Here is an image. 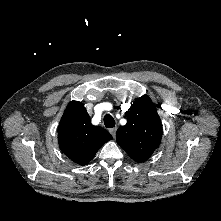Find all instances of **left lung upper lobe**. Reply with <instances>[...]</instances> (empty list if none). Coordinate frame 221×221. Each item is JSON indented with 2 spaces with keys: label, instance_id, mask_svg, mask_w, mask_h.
<instances>
[{
  "label": "left lung upper lobe",
  "instance_id": "left-lung-upper-lobe-1",
  "mask_svg": "<svg viewBox=\"0 0 221 221\" xmlns=\"http://www.w3.org/2000/svg\"><path fill=\"white\" fill-rule=\"evenodd\" d=\"M127 124L116 133L117 143L136 162L146 161L159 146L162 124L156 108L147 95H143L126 112Z\"/></svg>",
  "mask_w": 221,
  "mask_h": 221
}]
</instances>
